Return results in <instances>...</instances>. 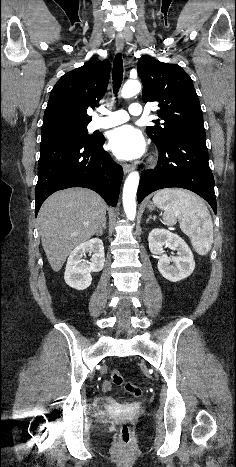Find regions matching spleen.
Returning a JSON list of instances; mask_svg holds the SVG:
<instances>
[{"label": "spleen", "instance_id": "1", "mask_svg": "<svg viewBox=\"0 0 236 467\" xmlns=\"http://www.w3.org/2000/svg\"><path fill=\"white\" fill-rule=\"evenodd\" d=\"M153 202L164 211V224L177 223L192 243L195 251L206 255L213 244V223L205 203L195 194L182 189H163L158 191Z\"/></svg>", "mask_w": 236, "mask_h": 467}]
</instances>
